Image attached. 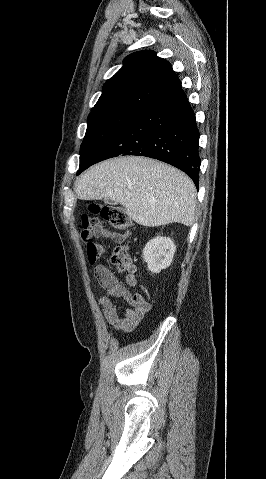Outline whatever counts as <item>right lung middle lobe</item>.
Segmentation results:
<instances>
[{"label": "right lung middle lobe", "mask_w": 266, "mask_h": 479, "mask_svg": "<svg viewBox=\"0 0 266 479\" xmlns=\"http://www.w3.org/2000/svg\"><path fill=\"white\" fill-rule=\"evenodd\" d=\"M139 113L117 110L88 116L87 130L80 148V174L98 157L108 143Z\"/></svg>", "instance_id": "obj_1"}]
</instances>
